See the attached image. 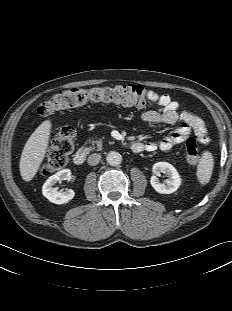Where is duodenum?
Masks as SVG:
<instances>
[{
  "label": "duodenum",
  "instance_id": "obj_1",
  "mask_svg": "<svg viewBox=\"0 0 232 311\" xmlns=\"http://www.w3.org/2000/svg\"><path fill=\"white\" fill-rule=\"evenodd\" d=\"M132 150L134 152H141L144 150V144L135 142L132 144ZM88 155V149L86 147L80 148L74 155L73 161L76 165H82L85 163Z\"/></svg>",
  "mask_w": 232,
  "mask_h": 311
}]
</instances>
